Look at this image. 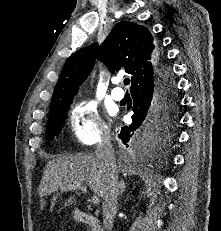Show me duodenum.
Segmentation results:
<instances>
[{
	"mask_svg": "<svg viewBox=\"0 0 221 231\" xmlns=\"http://www.w3.org/2000/svg\"><path fill=\"white\" fill-rule=\"evenodd\" d=\"M75 219L79 223L90 225L93 231H102L100 219L97 216L88 214L81 209H76Z\"/></svg>",
	"mask_w": 221,
	"mask_h": 231,
	"instance_id": "410a0bca",
	"label": "duodenum"
}]
</instances>
